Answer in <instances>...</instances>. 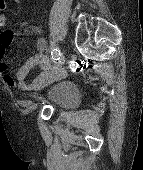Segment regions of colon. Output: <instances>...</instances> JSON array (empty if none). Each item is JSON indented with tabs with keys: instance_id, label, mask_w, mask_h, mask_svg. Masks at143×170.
<instances>
[{
	"instance_id": "1",
	"label": "colon",
	"mask_w": 143,
	"mask_h": 170,
	"mask_svg": "<svg viewBox=\"0 0 143 170\" xmlns=\"http://www.w3.org/2000/svg\"><path fill=\"white\" fill-rule=\"evenodd\" d=\"M4 8V2L3 0H0V10H2Z\"/></svg>"
}]
</instances>
